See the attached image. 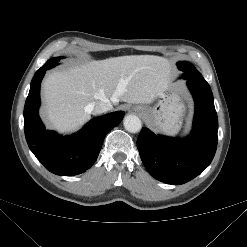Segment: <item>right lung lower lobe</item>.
Listing matches in <instances>:
<instances>
[{
	"label": "right lung lower lobe",
	"instance_id": "right-lung-lower-lobe-1",
	"mask_svg": "<svg viewBox=\"0 0 247 247\" xmlns=\"http://www.w3.org/2000/svg\"><path fill=\"white\" fill-rule=\"evenodd\" d=\"M45 71L39 69L31 82L24 107L25 137L30 150L50 172L62 176L78 175L95 163L106 134L121 122L124 112L97 117L70 136L46 131L38 115L40 84Z\"/></svg>",
	"mask_w": 247,
	"mask_h": 247
}]
</instances>
